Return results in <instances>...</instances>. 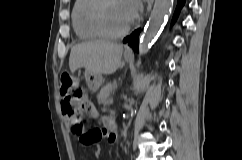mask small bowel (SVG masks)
<instances>
[{
  "mask_svg": "<svg viewBox=\"0 0 242 160\" xmlns=\"http://www.w3.org/2000/svg\"><path fill=\"white\" fill-rule=\"evenodd\" d=\"M65 103H66L65 101H63V102L61 103V110H62V107H63V105H64ZM86 111L93 113V111L91 110V108H90L89 106H87ZM62 114H63V110H62ZM64 117H65V122H66V124H67L69 127H71L72 130H73L75 133L81 135L80 133H78V132L76 131V127H77L78 124H79L78 120L75 119V118H68V117H66V116H64ZM94 132H97L98 135L93 139V142H92L91 144L98 142V141H99L104 135H105V137L109 140V142H114V141H115V135L112 134V133L106 132L105 130H101V129H96V130H94ZM82 143H83V142H82ZM86 145H89V144H86Z\"/></svg>",
  "mask_w": 242,
  "mask_h": 160,
  "instance_id": "small-bowel-1",
  "label": "small bowel"
}]
</instances>
